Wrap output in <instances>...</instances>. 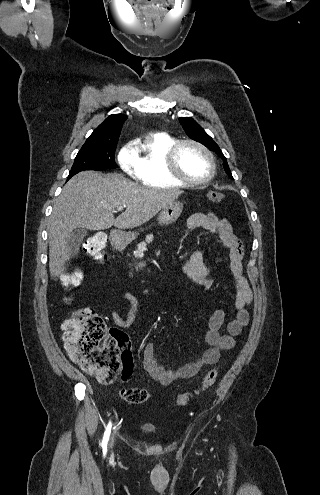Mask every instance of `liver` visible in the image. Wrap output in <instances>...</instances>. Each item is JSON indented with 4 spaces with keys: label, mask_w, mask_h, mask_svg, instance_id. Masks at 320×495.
Instances as JSON below:
<instances>
[{
    "label": "liver",
    "mask_w": 320,
    "mask_h": 495,
    "mask_svg": "<svg viewBox=\"0 0 320 495\" xmlns=\"http://www.w3.org/2000/svg\"><path fill=\"white\" fill-rule=\"evenodd\" d=\"M182 191L148 189L125 179L120 174L102 176L84 171L72 177L63 187L50 216L48 226L49 272L58 276L70 259L68 239L76 228L93 231L131 229L152 219L172 203ZM125 206L116 219L115 208Z\"/></svg>",
    "instance_id": "1"
}]
</instances>
